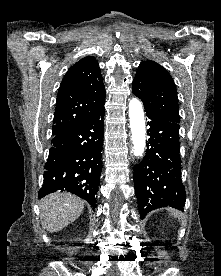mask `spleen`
Listing matches in <instances>:
<instances>
[{
  "label": "spleen",
  "instance_id": "1",
  "mask_svg": "<svg viewBox=\"0 0 221 276\" xmlns=\"http://www.w3.org/2000/svg\"><path fill=\"white\" fill-rule=\"evenodd\" d=\"M171 215H173L174 217H178V214H177V212L176 211H171Z\"/></svg>",
  "mask_w": 221,
  "mask_h": 276
}]
</instances>
